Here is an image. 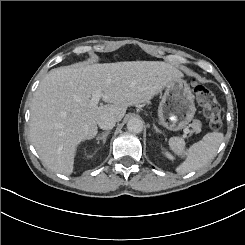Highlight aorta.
Segmentation results:
<instances>
[{
    "instance_id": "aorta-1",
    "label": "aorta",
    "mask_w": 245,
    "mask_h": 245,
    "mask_svg": "<svg viewBox=\"0 0 245 245\" xmlns=\"http://www.w3.org/2000/svg\"><path fill=\"white\" fill-rule=\"evenodd\" d=\"M127 129L129 132L138 134L143 130V122L139 118H131L127 122Z\"/></svg>"
}]
</instances>
